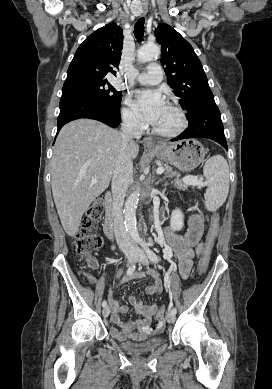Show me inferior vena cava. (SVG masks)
Returning a JSON list of instances; mask_svg holds the SVG:
<instances>
[{"label":"inferior vena cava","instance_id":"602c4592","mask_svg":"<svg viewBox=\"0 0 272 389\" xmlns=\"http://www.w3.org/2000/svg\"><path fill=\"white\" fill-rule=\"evenodd\" d=\"M142 129L140 122L134 116L123 118L121 127V148L112 176V195H113V216H114V234L119 248L124 253L135 251V247L130 239L123 222L122 208L126 190L132 181L133 163L127 155V145L131 139H140Z\"/></svg>","mask_w":272,"mask_h":389}]
</instances>
